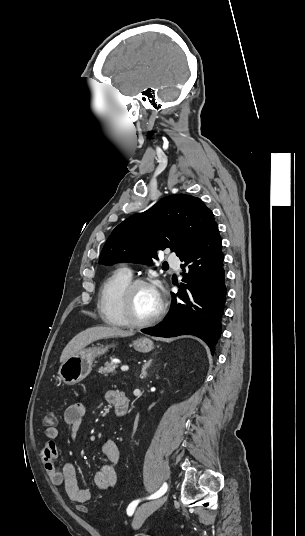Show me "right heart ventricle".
<instances>
[{
  "mask_svg": "<svg viewBox=\"0 0 305 536\" xmlns=\"http://www.w3.org/2000/svg\"><path fill=\"white\" fill-rule=\"evenodd\" d=\"M131 280L132 276L118 269L103 282L98 296V313L106 324L115 327L127 326L121 311L120 296Z\"/></svg>",
  "mask_w": 305,
  "mask_h": 536,
  "instance_id": "1",
  "label": "right heart ventricle"
}]
</instances>
